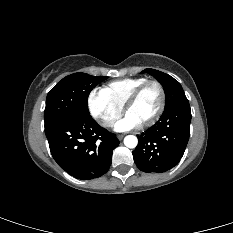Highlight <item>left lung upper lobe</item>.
Masks as SVG:
<instances>
[{
  "mask_svg": "<svg viewBox=\"0 0 233 233\" xmlns=\"http://www.w3.org/2000/svg\"><path fill=\"white\" fill-rule=\"evenodd\" d=\"M142 73L151 74L163 86L166 96L165 108L177 100L186 97L180 83L170 75L154 69H145Z\"/></svg>",
  "mask_w": 233,
  "mask_h": 233,
  "instance_id": "1",
  "label": "left lung upper lobe"
}]
</instances>
